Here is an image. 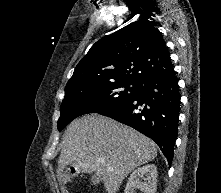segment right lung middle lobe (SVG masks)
<instances>
[{
	"mask_svg": "<svg viewBox=\"0 0 221 193\" xmlns=\"http://www.w3.org/2000/svg\"><path fill=\"white\" fill-rule=\"evenodd\" d=\"M140 88V82L123 81L65 89L58 130L61 131L78 116L117 108L136 96Z\"/></svg>",
	"mask_w": 221,
	"mask_h": 193,
	"instance_id": "dd1d6c3e",
	"label": "right lung middle lobe"
}]
</instances>
